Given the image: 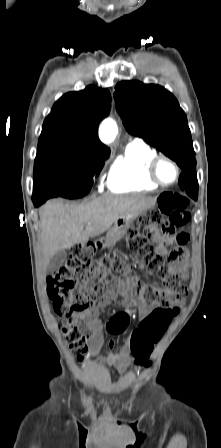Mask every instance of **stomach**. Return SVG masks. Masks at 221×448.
I'll return each mask as SVG.
<instances>
[{"label":"stomach","instance_id":"obj_1","mask_svg":"<svg viewBox=\"0 0 221 448\" xmlns=\"http://www.w3.org/2000/svg\"><path fill=\"white\" fill-rule=\"evenodd\" d=\"M154 200L143 203L137 209H132L122 214L115 222L113 227L108 231L106 235V242L108 244H114L119 241L126 233L127 228L132 222L142 213L153 207Z\"/></svg>","mask_w":221,"mask_h":448}]
</instances>
